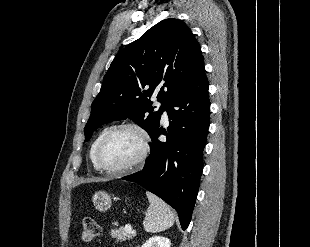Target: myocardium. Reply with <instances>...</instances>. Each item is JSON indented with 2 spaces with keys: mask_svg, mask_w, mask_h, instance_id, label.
Wrapping results in <instances>:
<instances>
[{
  "mask_svg": "<svg viewBox=\"0 0 310 247\" xmlns=\"http://www.w3.org/2000/svg\"><path fill=\"white\" fill-rule=\"evenodd\" d=\"M125 129L132 130L139 135L140 141H141L140 152L137 155V157L133 161H131L130 163H128L122 167H118V168H108L101 162V159H100V154H101L102 148L111 136H113L117 132H119L121 130H125ZM149 151H150V137H149L148 132L145 130V128H143L141 125H139L137 123L124 122V123H120V124L110 128L105 133V135L102 137V139L100 140V142L98 143V145L96 147L94 159H95V163H96L97 167L99 169L103 170L104 172H106L107 174H109V175H122V174L130 172L133 169L141 166L144 163V161L146 160V158L149 154Z\"/></svg>",
  "mask_w": 310,
  "mask_h": 247,
  "instance_id": "myocardium-1",
  "label": "myocardium"
}]
</instances>
